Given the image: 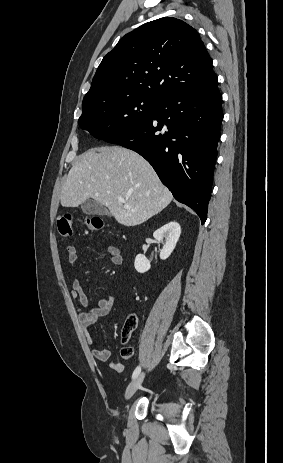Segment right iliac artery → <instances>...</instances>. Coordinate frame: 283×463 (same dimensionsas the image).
I'll list each match as a JSON object with an SVG mask.
<instances>
[{
  "instance_id": "obj_1",
  "label": "right iliac artery",
  "mask_w": 283,
  "mask_h": 463,
  "mask_svg": "<svg viewBox=\"0 0 283 463\" xmlns=\"http://www.w3.org/2000/svg\"><path fill=\"white\" fill-rule=\"evenodd\" d=\"M140 371H141V367L140 366L136 367V369L134 370L132 374V378L133 379L136 378L139 375Z\"/></svg>"
}]
</instances>
